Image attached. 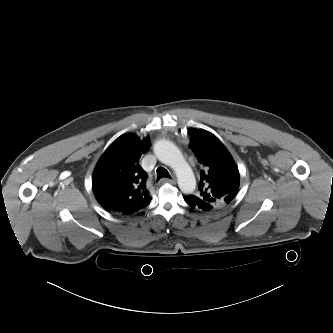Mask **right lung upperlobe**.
Instances as JSON below:
<instances>
[{
  "label": "right lung upper lobe",
  "instance_id": "right-lung-upper-lobe-1",
  "mask_svg": "<svg viewBox=\"0 0 333 333\" xmlns=\"http://www.w3.org/2000/svg\"><path fill=\"white\" fill-rule=\"evenodd\" d=\"M149 147V137L140 140L128 133L104 152L94 170L92 188L106 211L130 215L149 205L147 173L139 165L141 155Z\"/></svg>",
  "mask_w": 333,
  "mask_h": 333
}]
</instances>
